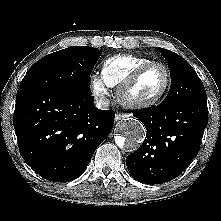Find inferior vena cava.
Returning a JSON list of instances; mask_svg holds the SVG:
<instances>
[{"mask_svg":"<svg viewBox=\"0 0 221 221\" xmlns=\"http://www.w3.org/2000/svg\"><path fill=\"white\" fill-rule=\"evenodd\" d=\"M110 101L107 98L101 97L98 98L95 102V105L99 109H107L109 107Z\"/></svg>","mask_w":221,"mask_h":221,"instance_id":"obj_1","label":"inferior vena cava"}]
</instances>
